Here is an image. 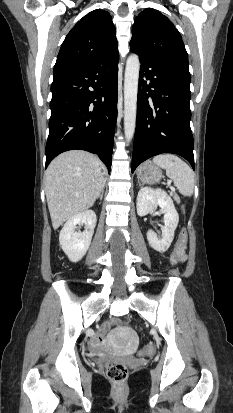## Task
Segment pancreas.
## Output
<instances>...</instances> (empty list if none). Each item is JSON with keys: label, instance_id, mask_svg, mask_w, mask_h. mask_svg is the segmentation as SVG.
I'll return each mask as SVG.
<instances>
[{"label": "pancreas", "instance_id": "obj_1", "mask_svg": "<svg viewBox=\"0 0 233 413\" xmlns=\"http://www.w3.org/2000/svg\"><path fill=\"white\" fill-rule=\"evenodd\" d=\"M174 199L179 203L180 202V200H179V198L177 197V196H174Z\"/></svg>", "mask_w": 233, "mask_h": 413}]
</instances>
